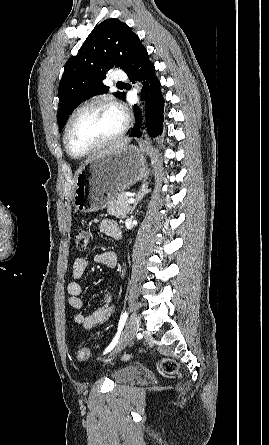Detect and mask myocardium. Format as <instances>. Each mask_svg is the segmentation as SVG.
<instances>
[{
  "mask_svg": "<svg viewBox=\"0 0 269 445\" xmlns=\"http://www.w3.org/2000/svg\"><path fill=\"white\" fill-rule=\"evenodd\" d=\"M97 105H105V106H109V107L116 109L122 116V119H123L122 126L119 129V131L111 138L103 141L102 143H100L99 145H97L96 147L92 148L91 150H89L87 152H84L81 154H76L71 150V148L68 144V133H69L70 126L77 115H79L84 110L89 109L94 106H97ZM128 128H129V118H128L127 114L124 112V110L112 99H110L108 97H99V98L92 99V100L86 102L85 104L81 105L70 115V117L68 118V120L65 124V127H64L63 144H64L66 152L72 158L83 159V158L92 156V155L100 152L104 148H106V147L110 146L111 144L115 143L116 141H118L120 138H122L125 135Z\"/></svg>",
  "mask_w": 269,
  "mask_h": 445,
  "instance_id": "myocardium-1",
  "label": "myocardium"
}]
</instances>
